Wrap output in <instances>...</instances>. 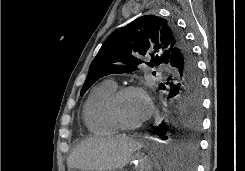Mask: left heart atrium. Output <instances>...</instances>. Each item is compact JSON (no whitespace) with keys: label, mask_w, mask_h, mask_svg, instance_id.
<instances>
[{"label":"left heart atrium","mask_w":245,"mask_h":171,"mask_svg":"<svg viewBox=\"0 0 245 171\" xmlns=\"http://www.w3.org/2000/svg\"><path fill=\"white\" fill-rule=\"evenodd\" d=\"M151 112H152V104L150 103V101L146 100V104H145L143 115H142L143 120L148 118Z\"/></svg>","instance_id":"39dd6f15"}]
</instances>
